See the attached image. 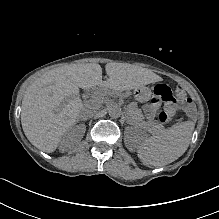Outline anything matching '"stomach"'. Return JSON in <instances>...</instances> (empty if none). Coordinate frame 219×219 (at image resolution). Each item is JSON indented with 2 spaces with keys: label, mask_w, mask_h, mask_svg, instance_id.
<instances>
[{
  "label": "stomach",
  "mask_w": 219,
  "mask_h": 219,
  "mask_svg": "<svg viewBox=\"0 0 219 219\" xmlns=\"http://www.w3.org/2000/svg\"><path fill=\"white\" fill-rule=\"evenodd\" d=\"M149 90L146 87H140L136 90V97L139 100H147L149 97Z\"/></svg>",
  "instance_id": "obj_1"
}]
</instances>
